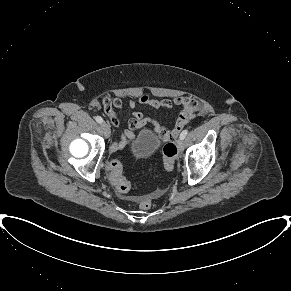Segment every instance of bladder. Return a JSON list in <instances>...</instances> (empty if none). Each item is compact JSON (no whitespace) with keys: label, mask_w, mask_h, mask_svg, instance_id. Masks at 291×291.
I'll list each match as a JSON object with an SVG mask.
<instances>
[{"label":"bladder","mask_w":291,"mask_h":291,"mask_svg":"<svg viewBox=\"0 0 291 291\" xmlns=\"http://www.w3.org/2000/svg\"><path fill=\"white\" fill-rule=\"evenodd\" d=\"M161 140L150 130H142L130 145L131 155L135 159H147L160 148Z\"/></svg>","instance_id":"bladder-1"}]
</instances>
